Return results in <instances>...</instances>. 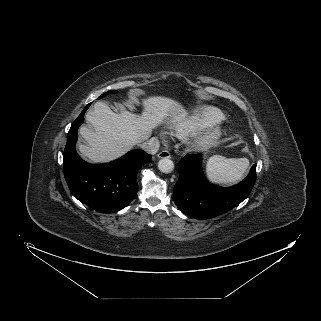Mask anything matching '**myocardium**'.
<instances>
[{"instance_id":"obj_1","label":"myocardium","mask_w":321,"mask_h":321,"mask_svg":"<svg viewBox=\"0 0 321 321\" xmlns=\"http://www.w3.org/2000/svg\"><path fill=\"white\" fill-rule=\"evenodd\" d=\"M225 134V127L221 122L204 128L190 143L194 150L202 151L215 146Z\"/></svg>"}]
</instances>
